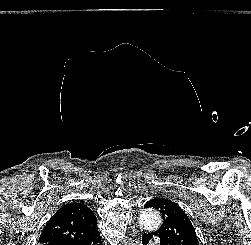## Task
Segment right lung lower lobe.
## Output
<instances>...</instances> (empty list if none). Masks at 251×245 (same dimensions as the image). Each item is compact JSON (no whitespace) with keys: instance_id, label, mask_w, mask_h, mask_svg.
Segmentation results:
<instances>
[{"instance_id":"98d812e1","label":"right lung lower lobe","mask_w":251,"mask_h":245,"mask_svg":"<svg viewBox=\"0 0 251 245\" xmlns=\"http://www.w3.org/2000/svg\"><path fill=\"white\" fill-rule=\"evenodd\" d=\"M68 245H102V240H101L100 235H98L94 239L77 242V243H70Z\"/></svg>"}]
</instances>
